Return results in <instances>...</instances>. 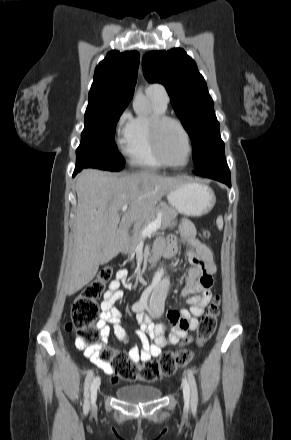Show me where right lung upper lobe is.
Returning <instances> with one entry per match:
<instances>
[{
    "mask_svg": "<svg viewBox=\"0 0 291 440\" xmlns=\"http://www.w3.org/2000/svg\"><path fill=\"white\" fill-rule=\"evenodd\" d=\"M140 55L137 51H110L95 69L88 105H128L137 81Z\"/></svg>",
    "mask_w": 291,
    "mask_h": 440,
    "instance_id": "right-lung-upper-lobe-1",
    "label": "right lung upper lobe"
}]
</instances>
